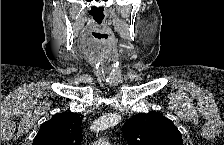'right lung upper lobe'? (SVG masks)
<instances>
[{
  "label": "right lung upper lobe",
  "mask_w": 224,
  "mask_h": 145,
  "mask_svg": "<svg viewBox=\"0 0 224 145\" xmlns=\"http://www.w3.org/2000/svg\"><path fill=\"white\" fill-rule=\"evenodd\" d=\"M81 118L76 113H58L44 122L33 145H80Z\"/></svg>",
  "instance_id": "1"
}]
</instances>
